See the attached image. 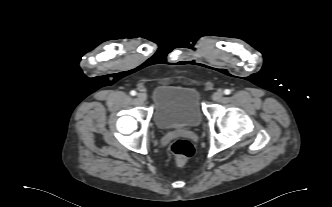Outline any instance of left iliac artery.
Masks as SVG:
<instances>
[{
	"mask_svg": "<svg viewBox=\"0 0 332 207\" xmlns=\"http://www.w3.org/2000/svg\"><path fill=\"white\" fill-rule=\"evenodd\" d=\"M230 93H231V90H230V89H225V90H224V94L229 95Z\"/></svg>",
	"mask_w": 332,
	"mask_h": 207,
	"instance_id": "1",
	"label": "left iliac artery"
}]
</instances>
